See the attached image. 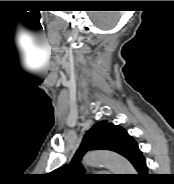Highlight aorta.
<instances>
[{"mask_svg": "<svg viewBox=\"0 0 174 184\" xmlns=\"http://www.w3.org/2000/svg\"><path fill=\"white\" fill-rule=\"evenodd\" d=\"M83 161L88 166H105L114 174H135V169L127 159L111 151H90Z\"/></svg>", "mask_w": 174, "mask_h": 184, "instance_id": "aorta-1", "label": "aorta"}]
</instances>
